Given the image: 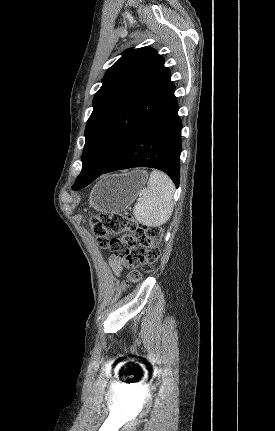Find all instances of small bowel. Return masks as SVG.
Here are the masks:
<instances>
[{"label": "small bowel", "mask_w": 275, "mask_h": 431, "mask_svg": "<svg viewBox=\"0 0 275 431\" xmlns=\"http://www.w3.org/2000/svg\"><path fill=\"white\" fill-rule=\"evenodd\" d=\"M110 265L115 274L120 275L122 273L123 261L120 258L112 256L110 259Z\"/></svg>", "instance_id": "1"}]
</instances>
